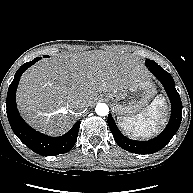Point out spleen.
Instances as JSON below:
<instances>
[{
    "label": "spleen",
    "mask_w": 193,
    "mask_h": 193,
    "mask_svg": "<svg viewBox=\"0 0 193 193\" xmlns=\"http://www.w3.org/2000/svg\"><path fill=\"white\" fill-rule=\"evenodd\" d=\"M164 101L156 96L154 100L135 116H125L122 127L126 133L134 138L151 137L158 131L163 119Z\"/></svg>",
    "instance_id": "obj_1"
}]
</instances>
